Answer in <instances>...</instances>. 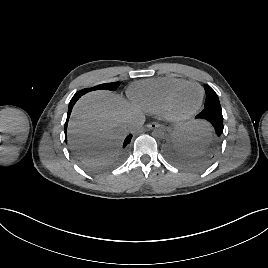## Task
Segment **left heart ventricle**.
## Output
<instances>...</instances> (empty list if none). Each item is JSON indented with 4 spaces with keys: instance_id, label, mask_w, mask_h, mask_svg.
<instances>
[{
    "instance_id": "left-heart-ventricle-1",
    "label": "left heart ventricle",
    "mask_w": 268,
    "mask_h": 268,
    "mask_svg": "<svg viewBox=\"0 0 268 268\" xmlns=\"http://www.w3.org/2000/svg\"><path fill=\"white\" fill-rule=\"evenodd\" d=\"M200 99V90L196 86H188L181 90L174 99L173 110L178 114L191 111Z\"/></svg>"
}]
</instances>
